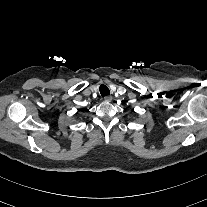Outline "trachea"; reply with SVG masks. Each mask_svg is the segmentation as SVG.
<instances>
[{
	"instance_id": "3493384b",
	"label": "trachea",
	"mask_w": 207,
	"mask_h": 207,
	"mask_svg": "<svg viewBox=\"0 0 207 207\" xmlns=\"http://www.w3.org/2000/svg\"><path fill=\"white\" fill-rule=\"evenodd\" d=\"M99 91L101 93L102 96H106V95H109L110 94V91L109 89L107 88L106 85L102 84L100 87H99Z\"/></svg>"
}]
</instances>
